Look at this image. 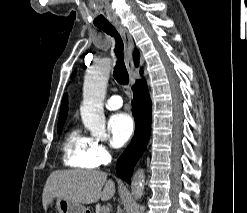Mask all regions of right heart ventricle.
Segmentation results:
<instances>
[{
  "mask_svg": "<svg viewBox=\"0 0 247 213\" xmlns=\"http://www.w3.org/2000/svg\"><path fill=\"white\" fill-rule=\"evenodd\" d=\"M92 139L84 136L77 128L70 129L63 142V161L66 165L76 168H95L90 151Z\"/></svg>",
  "mask_w": 247,
  "mask_h": 213,
  "instance_id": "e07e8e85",
  "label": "right heart ventricle"
}]
</instances>
